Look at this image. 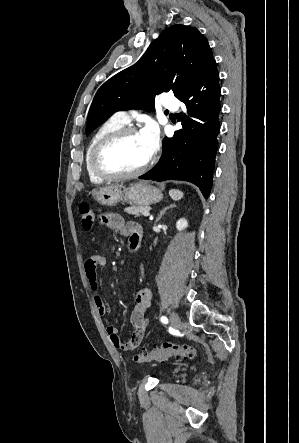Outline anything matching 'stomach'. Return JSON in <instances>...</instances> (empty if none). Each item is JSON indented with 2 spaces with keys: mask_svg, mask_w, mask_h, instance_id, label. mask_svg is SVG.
Returning <instances> with one entry per match:
<instances>
[{
  "mask_svg": "<svg viewBox=\"0 0 299 443\" xmlns=\"http://www.w3.org/2000/svg\"><path fill=\"white\" fill-rule=\"evenodd\" d=\"M92 196L104 206H114L122 200L138 206H148L159 202L163 197L158 188L147 182H136L123 190L117 185L94 189Z\"/></svg>",
  "mask_w": 299,
  "mask_h": 443,
  "instance_id": "stomach-1",
  "label": "stomach"
}]
</instances>
